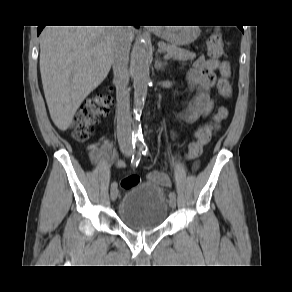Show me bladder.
Listing matches in <instances>:
<instances>
[{
	"label": "bladder",
	"instance_id": "bladder-1",
	"mask_svg": "<svg viewBox=\"0 0 292 292\" xmlns=\"http://www.w3.org/2000/svg\"><path fill=\"white\" fill-rule=\"evenodd\" d=\"M168 210L164 191L156 183H143L126 189L118 217L131 230L151 231L163 225Z\"/></svg>",
	"mask_w": 292,
	"mask_h": 292
}]
</instances>
